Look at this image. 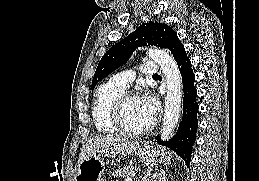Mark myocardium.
Here are the masks:
<instances>
[{"label": "myocardium", "mask_w": 259, "mask_h": 181, "mask_svg": "<svg viewBox=\"0 0 259 181\" xmlns=\"http://www.w3.org/2000/svg\"><path fill=\"white\" fill-rule=\"evenodd\" d=\"M134 97H136V93L134 91H124L116 99L114 108H113L114 120L118 129L120 130V132L128 136L143 135L149 132L150 130H152V128L155 126V119H152V121L143 128L133 129L126 125L125 119H124V106L129 99Z\"/></svg>", "instance_id": "obj_1"}]
</instances>
